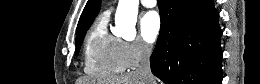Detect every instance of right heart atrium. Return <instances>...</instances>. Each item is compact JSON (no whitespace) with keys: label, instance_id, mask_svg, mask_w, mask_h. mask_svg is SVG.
Masks as SVG:
<instances>
[{"label":"right heart atrium","instance_id":"1","mask_svg":"<svg viewBox=\"0 0 260 84\" xmlns=\"http://www.w3.org/2000/svg\"><path fill=\"white\" fill-rule=\"evenodd\" d=\"M150 48L139 39L120 40V55L126 68H135L149 58Z\"/></svg>","mask_w":260,"mask_h":84}]
</instances>
